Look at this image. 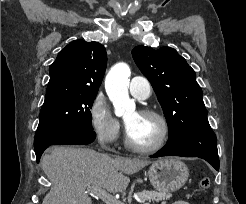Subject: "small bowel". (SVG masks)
<instances>
[{
    "mask_svg": "<svg viewBox=\"0 0 246 204\" xmlns=\"http://www.w3.org/2000/svg\"><path fill=\"white\" fill-rule=\"evenodd\" d=\"M172 204H190V203L185 202V201H176V202H174Z\"/></svg>",
    "mask_w": 246,
    "mask_h": 204,
    "instance_id": "c3829d8e",
    "label": "small bowel"
}]
</instances>
